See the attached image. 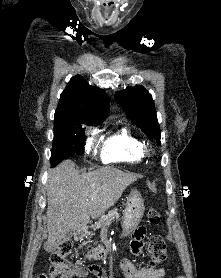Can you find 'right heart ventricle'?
<instances>
[{
  "instance_id": "e07e8e85",
  "label": "right heart ventricle",
  "mask_w": 221,
  "mask_h": 278,
  "mask_svg": "<svg viewBox=\"0 0 221 278\" xmlns=\"http://www.w3.org/2000/svg\"><path fill=\"white\" fill-rule=\"evenodd\" d=\"M141 141L127 128H120L103 141V163H138L142 160Z\"/></svg>"
}]
</instances>
